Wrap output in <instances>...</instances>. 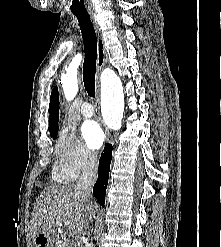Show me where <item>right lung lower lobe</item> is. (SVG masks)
<instances>
[{"label": "right lung lower lobe", "instance_id": "98d812e1", "mask_svg": "<svg viewBox=\"0 0 221 247\" xmlns=\"http://www.w3.org/2000/svg\"><path fill=\"white\" fill-rule=\"evenodd\" d=\"M111 160H112V145L107 144L99 160L98 179L93 187L94 197L103 207L105 203V193L108 184Z\"/></svg>", "mask_w": 221, "mask_h": 247}]
</instances>
